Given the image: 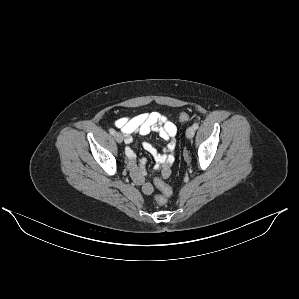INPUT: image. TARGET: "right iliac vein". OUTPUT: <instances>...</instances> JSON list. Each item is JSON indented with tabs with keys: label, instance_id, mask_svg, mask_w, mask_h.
I'll list each match as a JSON object with an SVG mask.
<instances>
[{
	"label": "right iliac vein",
	"instance_id": "obj_1",
	"mask_svg": "<svg viewBox=\"0 0 299 299\" xmlns=\"http://www.w3.org/2000/svg\"><path fill=\"white\" fill-rule=\"evenodd\" d=\"M114 137H115V139H116V141L118 143H122L123 142V136H122L121 133H119V132L115 133Z\"/></svg>",
	"mask_w": 299,
	"mask_h": 299
}]
</instances>
